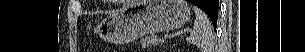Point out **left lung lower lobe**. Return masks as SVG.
I'll return each mask as SVG.
<instances>
[{
    "label": "left lung lower lobe",
    "instance_id": "left-lung-lower-lobe-1",
    "mask_svg": "<svg viewBox=\"0 0 305 52\" xmlns=\"http://www.w3.org/2000/svg\"><path fill=\"white\" fill-rule=\"evenodd\" d=\"M191 3L197 5L206 12V9L218 10V0H189ZM217 22L213 23L214 28H216Z\"/></svg>",
    "mask_w": 305,
    "mask_h": 52
}]
</instances>
